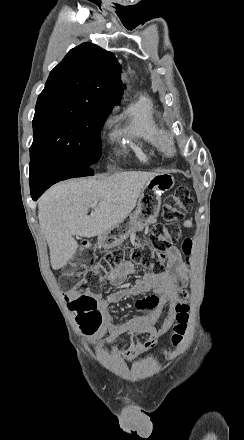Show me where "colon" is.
<instances>
[{
    "label": "colon",
    "mask_w": 244,
    "mask_h": 440,
    "mask_svg": "<svg viewBox=\"0 0 244 440\" xmlns=\"http://www.w3.org/2000/svg\"><path fill=\"white\" fill-rule=\"evenodd\" d=\"M192 198L190 192L180 188L174 196L165 200L162 208L163 221L158 223L150 235V243L145 246L115 249L106 254L100 261L96 260L95 247L90 241L83 245L81 260L84 262H65V275H59V284L69 294H78L69 306L70 313L78 319H100L101 311L95 310L98 300L92 294H98L102 287L103 272L131 260L134 264L142 265L155 272L164 271L165 259L169 247L178 241L181 231L180 222L190 212ZM183 254L189 258L193 252V241L186 239L182 245ZM95 266L97 271L91 270ZM82 271H87L83 277ZM91 293V294H90ZM189 292L183 290L178 293L177 301L173 306L176 324L171 336L170 345H166L161 355H149L151 363H159L168 354L171 347L179 345L187 331L190 319Z\"/></svg>",
    "instance_id": "colon-1"
}]
</instances>
